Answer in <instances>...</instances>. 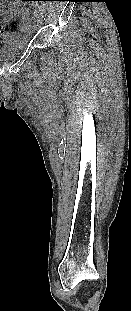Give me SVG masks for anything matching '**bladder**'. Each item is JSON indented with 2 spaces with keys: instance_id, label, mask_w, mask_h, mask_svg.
<instances>
[{
  "instance_id": "obj_1",
  "label": "bladder",
  "mask_w": 131,
  "mask_h": 311,
  "mask_svg": "<svg viewBox=\"0 0 131 311\" xmlns=\"http://www.w3.org/2000/svg\"><path fill=\"white\" fill-rule=\"evenodd\" d=\"M28 41L20 36L0 37V62L7 61L20 54Z\"/></svg>"
}]
</instances>
